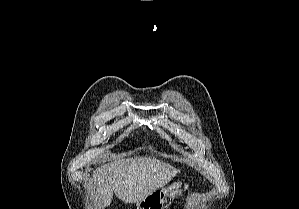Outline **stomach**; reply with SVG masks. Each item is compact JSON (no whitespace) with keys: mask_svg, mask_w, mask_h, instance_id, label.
<instances>
[{"mask_svg":"<svg viewBox=\"0 0 299 209\" xmlns=\"http://www.w3.org/2000/svg\"><path fill=\"white\" fill-rule=\"evenodd\" d=\"M187 186L181 181L173 182L171 185L155 189L143 200L137 203V209H164V202L170 194L173 197L182 195Z\"/></svg>","mask_w":299,"mask_h":209,"instance_id":"1","label":"stomach"}]
</instances>
